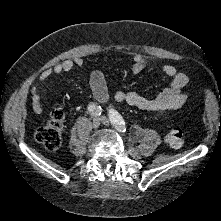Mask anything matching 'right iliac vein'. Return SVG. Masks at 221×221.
I'll use <instances>...</instances> for the list:
<instances>
[{
    "label": "right iliac vein",
    "mask_w": 221,
    "mask_h": 221,
    "mask_svg": "<svg viewBox=\"0 0 221 221\" xmlns=\"http://www.w3.org/2000/svg\"><path fill=\"white\" fill-rule=\"evenodd\" d=\"M92 125H93V128H94V129L99 128V126H100V119H99V118H94Z\"/></svg>",
    "instance_id": "obj_1"
}]
</instances>
